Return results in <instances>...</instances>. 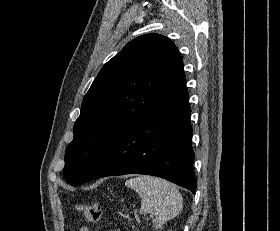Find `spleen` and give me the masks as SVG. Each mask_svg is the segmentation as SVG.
<instances>
[{
  "mask_svg": "<svg viewBox=\"0 0 280 231\" xmlns=\"http://www.w3.org/2000/svg\"><path fill=\"white\" fill-rule=\"evenodd\" d=\"M125 185L136 189L141 197L140 213H154L155 227L176 217L182 209V195L174 183H169L161 177L138 175L126 179Z\"/></svg>",
  "mask_w": 280,
  "mask_h": 231,
  "instance_id": "3e777b00",
  "label": "spleen"
}]
</instances>
